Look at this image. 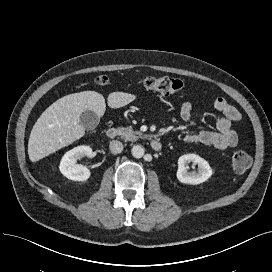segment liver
<instances>
[{"label":"liver","mask_w":272,"mask_h":272,"mask_svg":"<svg viewBox=\"0 0 272 272\" xmlns=\"http://www.w3.org/2000/svg\"><path fill=\"white\" fill-rule=\"evenodd\" d=\"M136 96L124 92L109 94L110 108H121L131 103ZM85 110H91L102 117L106 110L105 99L95 91H83L66 95L50 105L33 126L29 141L28 155L32 162L66 147L85 134L80 117Z\"/></svg>","instance_id":"liver-1"}]
</instances>
